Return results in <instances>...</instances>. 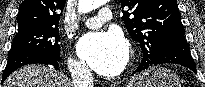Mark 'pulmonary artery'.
I'll use <instances>...</instances> for the list:
<instances>
[{"instance_id":"1","label":"pulmonary artery","mask_w":205,"mask_h":87,"mask_svg":"<svg viewBox=\"0 0 205 87\" xmlns=\"http://www.w3.org/2000/svg\"><path fill=\"white\" fill-rule=\"evenodd\" d=\"M114 19L113 11L108 7L100 9L98 15L89 17L84 20V24L88 28H99L103 23L111 22Z\"/></svg>"}]
</instances>
